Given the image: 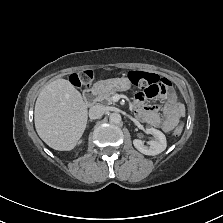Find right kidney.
I'll return each mask as SVG.
<instances>
[{"label": "right kidney", "instance_id": "obj_1", "mask_svg": "<svg viewBox=\"0 0 223 223\" xmlns=\"http://www.w3.org/2000/svg\"><path fill=\"white\" fill-rule=\"evenodd\" d=\"M80 143H82V141H81V140L78 142V144H80Z\"/></svg>", "mask_w": 223, "mask_h": 223}]
</instances>
